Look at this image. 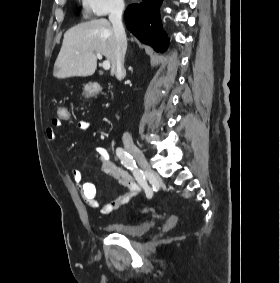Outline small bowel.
Wrapping results in <instances>:
<instances>
[{
    "label": "small bowel",
    "instance_id": "c3829d8e",
    "mask_svg": "<svg viewBox=\"0 0 280 283\" xmlns=\"http://www.w3.org/2000/svg\"><path fill=\"white\" fill-rule=\"evenodd\" d=\"M58 111V110H57ZM62 126V122H58L57 118L53 120L52 125L46 129V136L49 140H54L58 135V128ZM89 128V122L86 120H80L77 122V129L79 131H86ZM95 156L101 163L102 171L118 180L120 184L125 188V191L115 199L101 204L96 198V187L90 181L83 180V174L81 170H72V179L77 185L78 191L82 200L93 210L99 211L101 214L107 215L116 209H119L130 202L139 191L140 186L136 180L123 169L120 165L111 159L110 153L103 145H98L95 148Z\"/></svg>",
    "mask_w": 280,
    "mask_h": 283
}]
</instances>
